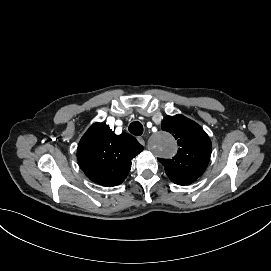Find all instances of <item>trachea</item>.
<instances>
[{
	"label": "trachea",
	"mask_w": 271,
	"mask_h": 271,
	"mask_svg": "<svg viewBox=\"0 0 271 271\" xmlns=\"http://www.w3.org/2000/svg\"><path fill=\"white\" fill-rule=\"evenodd\" d=\"M128 130L133 135L140 136L143 134V125L138 121H134L129 125Z\"/></svg>",
	"instance_id": "1"
}]
</instances>
